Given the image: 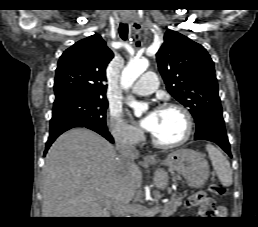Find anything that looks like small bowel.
<instances>
[{
	"mask_svg": "<svg viewBox=\"0 0 258 227\" xmlns=\"http://www.w3.org/2000/svg\"><path fill=\"white\" fill-rule=\"evenodd\" d=\"M190 205H200L198 215L201 217H206L211 214L223 215L226 212V208L223 206H217L211 198H209L205 192H199L187 201Z\"/></svg>",
	"mask_w": 258,
	"mask_h": 227,
	"instance_id": "small-bowel-1",
	"label": "small bowel"
}]
</instances>
